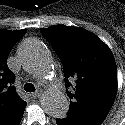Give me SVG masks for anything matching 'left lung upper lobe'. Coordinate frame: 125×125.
<instances>
[{
    "label": "left lung upper lobe",
    "mask_w": 125,
    "mask_h": 125,
    "mask_svg": "<svg viewBox=\"0 0 125 125\" xmlns=\"http://www.w3.org/2000/svg\"><path fill=\"white\" fill-rule=\"evenodd\" d=\"M62 64L70 97L68 117L101 124L117 93V69L112 52L97 36L77 27L42 28ZM70 81H75L72 85Z\"/></svg>",
    "instance_id": "5c2ea615"
}]
</instances>
